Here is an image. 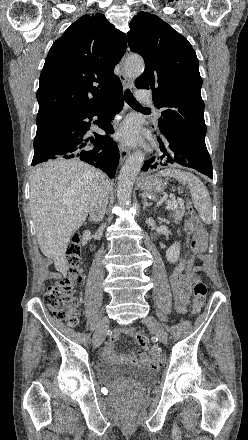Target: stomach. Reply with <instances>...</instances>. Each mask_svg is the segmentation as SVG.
Masks as SVG:
<instances>
[{
    "instance_id": "0dacf381",
    "label": "stomach",
    "mask_w": 248,
    "mask_h": 440,
    "mask_svg": "<svg viewBox=\"0 0 248 440\" xmlns=\"http://www.w3.org/2000/svg\"><path fill=\"white\" fill-rule=\"evenodd\" d=\"M138 186L145 193L161 192L166 188V184L162 180L152 176L142 178Z\"/></svg>"
}]
</instances>
